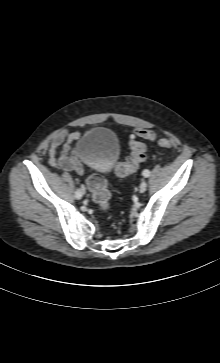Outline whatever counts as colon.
Returning a JSON list of instances; mask_svg holds the SVG:
<instances>
[{"label":"colon","mask_w":220,"mask_h":363,"mask_svg":"<svg viewBox=\"0 0 220 363\" xmlns=\"http://www.w3.org/2000/svg\"><path fill=\"white\" fill-rule=\"evenodd\" d=\"M156 135L147 129H138L130 137L129 147L130 155L125 162L116 164V173L119 176H127L134 173L139 165L147 158V146L141 140L154 141ZM158 144L164 148H171L175 145V141L170 138H161ZM87 186L91 192L93 200L98 204L104 212L110 210V192L107 188L105 179L99 174H92L87 179Z\"/></svg>","instance_id":"obj_1"}]
</instances>
